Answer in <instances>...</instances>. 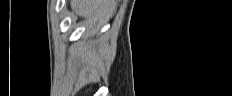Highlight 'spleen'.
<instances>
[{
	"mask_svg": "<svg viewBox=\"0 0 232 96\" xmlns=\"http://www.w3.org/2000/svg\"><path fill=\"white\" fill-rule=\"evenodd\" d=\"M72 10L86 19H94L102 16L110 9L109 0H71Z\"/></svg>",
	"mask_w": 232,
	"mask_h": 96,
	"instance_id": "3e777b00",
	"label": "spleen"
}]
</instances>
